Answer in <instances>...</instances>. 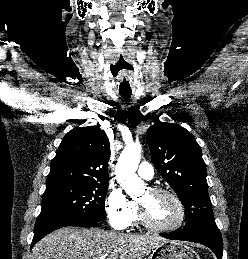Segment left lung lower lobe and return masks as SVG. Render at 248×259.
<instances>
[{
  "label": "left lung lower lobe",
  "mask_w": 248,
  "mask_h": 259,
  "mask_svg": "<svg viewBox=\"0 0 248 259\" xmlns=\"http://www.w3.org/2000/svg\"><path fill=\"white\" fill-rule=\"evenodd\" d=\"M161 236L171 240H185L203 244L209 247L218 259H222V237L216 223L201 226L189 231L183 230L181 232L161 234Z\"/></svg>",
  "instance_id": "1"
}]
</instances>
